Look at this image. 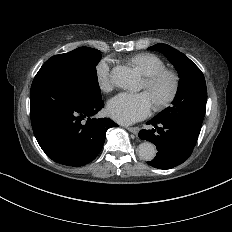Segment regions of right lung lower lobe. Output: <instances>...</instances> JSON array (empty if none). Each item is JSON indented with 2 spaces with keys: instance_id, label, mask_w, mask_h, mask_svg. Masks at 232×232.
<instances>
[{
  "instance_id": "obj_1",
  "label": "right lung lower lobe",
  "mask_w": 232,
  "mask_h": 232,
  "mask_svg": "<svg viewBox=\"0 0 232 232\" xmlns=\"http://www.w3.org/2000/svg\"><path fill=\"white\" fill-rule=\"evenodd\" d=\"M104 107L91 98L74 70L43 64L30 91L34 135L46 155L67 166H84L100 153L106 131L118 127L110 118H93Z\"/></svg>"
}]
</instances>
